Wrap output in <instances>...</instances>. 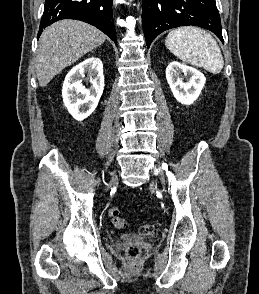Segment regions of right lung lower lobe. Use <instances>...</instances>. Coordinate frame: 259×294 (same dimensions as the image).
Segmentation results:
<instances>
[{"mask_svg":"<svg viewBox=\"0 0 259 294\" xmlns=\"http://www.w3.org/2000/svg\"><path fill=\"white\" fill-rule=\"evenodd\" d=\"M61 19H77L94 25L116 44L112 0H45L38 38L43 29Z\"/></svg>","mask_w":259,"mask_h":294,"instance_id":"98d812e1","label":"right lung lower lobe"}]
</instances>
